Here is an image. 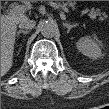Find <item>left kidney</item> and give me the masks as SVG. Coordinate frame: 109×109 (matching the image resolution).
<instances>
[{"instance_id": "1", "label": "left kidney", "mask_w": 109, "mask_h": 109, "mask_svg": "<svg viewBox=\"0 0 109 109\" xmlns=\"http://www.w3.org/2000/svg\"><path fill=\"white\" fill-rule=\"evenodd\" d=\"M77 48L82 54L93 59L102 54V43L95 35L82 37L77 43Z\"/></svg>"}]
</instances>
